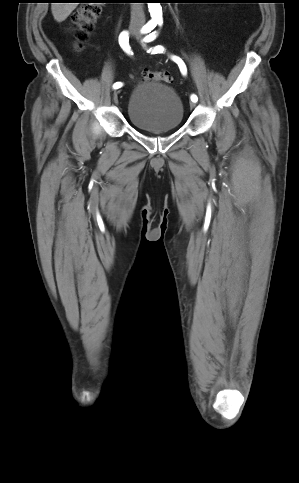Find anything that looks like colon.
<instances>
[{"label": "colon", "mask_w": 299, "mask_h": 483, "mask_svg": "<svg viewBox=\"0 0 299 483\" xmlns=\"http://www.w3.org/2000/svg\"><path fill=\"white\" fill-rule=\"evenodd\" d=\"M102 8L98 2H92L81 7L73 15V23L75 26L76 49L81 51L89 38L90 33L94 29L96 22L101 14ZM144 79L146 81H157L169 83L171 78L167 72L152 71L146 69L144 71Z\"/></svg>", "instance_id": "5ec220e1"}]
</instances>
